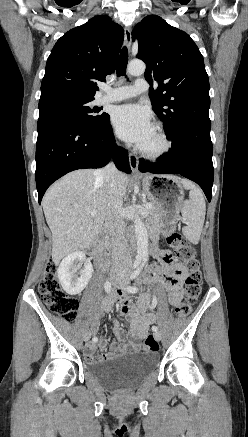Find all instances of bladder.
<instances>
[{"instance_id": "1", "label": "bladder", "mask_w": 248, "mask_h": 437, "mask_svg": "<svg viewBox=\"0 0 248 437\" xmlns=\"http://www.w3.org/2000/svg\"><path fill=\"white\" fill-rule=\"evenodd\" d=\"M157 361L151 352L123 354L89 365L87 373L110 389H130L154 371Z\"/></svg>"}]
</instances>
